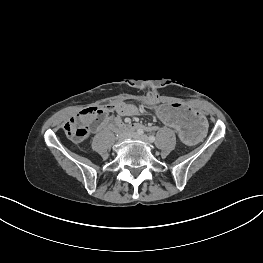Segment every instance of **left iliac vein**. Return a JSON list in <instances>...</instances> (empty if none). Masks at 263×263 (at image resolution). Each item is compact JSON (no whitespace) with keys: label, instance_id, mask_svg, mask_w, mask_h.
Wrapping results in <instances>:
<instances>
[{"label":"left iliac vein","instance_id":"4c4485c4","mask_svg":"<svg viewBox=\"0 0 263 263\" xmlns=\"http://www.w3.org/2000/svg\"><path fill=\"white\" fill-rule=\"evenodd\" d=\"M136 138L142 140L145 143H149V138L146 135H144V134L136 135Z\"/></svg>","mask_w":263,"mask_h":263}]
</instances>
